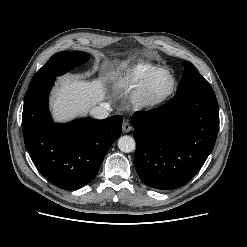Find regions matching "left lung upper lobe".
I'll return each instance as SVG.
<instances>
[{"instance_id":"1","label":"left lung upper lobe","mask_w":247,"mask_h":247,"mask_svg":"<svg viewBox=\"0 0 247 247\" xmlns=\"http://www.w3.org/2000/svg\"><path fill=\"white\" fill-rule=\"evenodd\" d=\"M182 65L184 66V73L177 88V93L191 88L213 90L194 65L188 61L182 63Z\"/></svg>"}]
</instances>
